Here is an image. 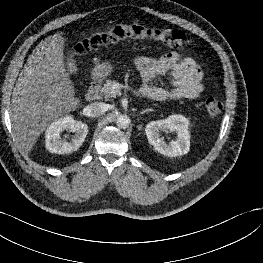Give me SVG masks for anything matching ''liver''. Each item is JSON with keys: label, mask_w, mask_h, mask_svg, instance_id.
<instances>
[{"label": "liver", "mask_w": 263, "mask_h": 263, "mask_svg": "<svg viewBox=\"0 0 263 263\" xmlns=\"http://www.w3.org/2000/svg\"><path fill=\"white\" fill-rule=\"evenodd\" d=\"M64 45L59 34L41 41L16 82L11 117L16 141L26 153L52 121L79 104L63 61Z\"/></svg>", "instance_id": "6515ba94"}]
</instances>
